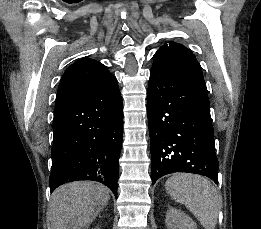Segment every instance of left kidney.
<instances>
[{
	"label": "left kidney",
	"instance_id": "1",
	"mask_svg": "<svg viewBox=\"0 0 261 229\" xmlns=\"http://www.w3.org/2000/svg\"><path fill=\"white\" fill-rule=\"evenodd\" d=\"M165 223L167 229H197L194 221L186 213L174 207H168Z\"/></svg>",
	"mask_w": 261,
	"mask_h": 229
}]
</instances>
